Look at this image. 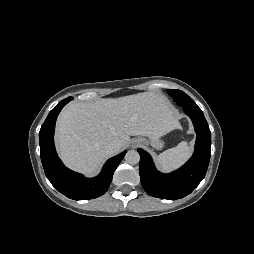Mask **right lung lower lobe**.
I'll return each instance as SVG.
<instances>
[{
  "label": "right lung lower lobe",
  "instance_id": "98d812e1",
  "mask_svg": "<svg viewBox=\"0 0 254 254\" xmlns=\"http://www.w3.org/2000/svg\"><path fill=\"white\" fill-rule=\"evenodd\" d=\"M72 97L60 101L49 113L39 132L41 161L51 184L62 194L74 200H89L103 195L109 188L112 176L126 150L110 158L100 174L94 178L67 169L59 159L53 141L56 118Z\"/></svg>",
  "mask_w": 254,
  "mask_h": 254
}]
</instances>
